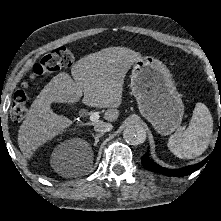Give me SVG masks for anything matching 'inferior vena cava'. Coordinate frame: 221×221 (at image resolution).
<instances>
[{"mask_svg":"<svg viewBox=\"0 0 221 221\" xmlns=\"http://www.w3.org/2000/svg\"><path fill=\"white\" fill-rule=\"evenodd\" d=\"M112 128H113V126L111 123H106V122L100 121V122H96L94 124V130L96 132H101V133L108 132V131L112 130Z\"/></svg>","mask_w":221,"mask_h":221,"instance_id":"602c4592","label":"inferior vena cava"}]
</instances>
